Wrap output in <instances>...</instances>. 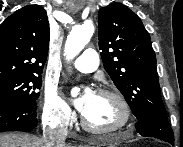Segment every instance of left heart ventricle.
<instances>
[{"mask_svg": "<svg viewBox=\"0 0 183 147\" xmlns=\"http://www.w3.org/2000/svg\"><path fill=\"white\" fill-rule=\"evenodd\" d=\"M83 115L97 128L117 126L123 119V112L117 101L110 96L98 94L94 95Z\"/></svg>", "mask_w": 183, "mask_h": 147, "instance_id": "obj_1", "label": "left heart ventricle"}]
</instances>
